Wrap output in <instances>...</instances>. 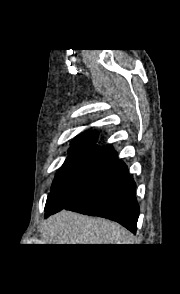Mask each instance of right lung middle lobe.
Instances as JSON below:
<instances>
[{"mask_svg": "<svg viewBox=\"0 0 180 294\" xmlns=\"http://www.w3.org/2000/svg\"><path fill=\"white\" fill-rule=\"evenodd\" d=\"M97 149L98 146L95 144H72L69 156L55 176L45 207H48L55 197L72 182Z\"/></svg>", "mask_w": 180, "mask_h": 294, "instance_id": "obj_1", "label": "right lung middle lobe"}]
</instances>
